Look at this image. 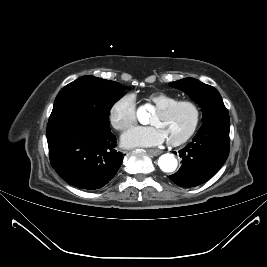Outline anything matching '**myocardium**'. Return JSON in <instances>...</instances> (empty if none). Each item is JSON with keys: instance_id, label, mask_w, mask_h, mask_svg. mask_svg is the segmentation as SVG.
I'll list each match as a JSON object with an SVG mask.
<instances>
[{"instance_id": "1", "label": "myocardium", "mask_w": 267, "mask_h": 267, "mask_svg": "<svg viewBox=\"0 0 267 267\" xmlns=\"http://www.w3.org/2000/svg\"><path fill=\"white\" fill-rule=\"evenodd\" d=\"M183 105H187V106L192 108V110L194 112V120H193V123H192L191 127L189 128V130L183 136H181L180 138H177V139H173V140L168 139L167 140V143L169 145H172V146H178V145L185 143L195 134L196 130L199 127L200 121H201V110H200L198 104L192 100H177L173 103H170L168 105H165V106L157 109L158 113L167 114V113L171 112L172 110H174L175 108H177L179 106H183Z\"/></svg>"}]
</instances>
